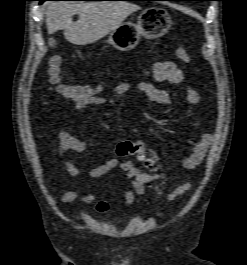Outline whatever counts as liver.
I'll return each mask as SVG.
<instances>
[{"label":"liver","instance_id":"1","mask_svg":"<svg viewBox=\"0 0 247 265\" xmlns=\"http://www.w3.org/2000/svg\"><path fill=\"white\" fill-rule=\"evenodd\" d=\"M139 9V6L125 1L51 2L45 11L46 26L49 33L64 30L65 39L72 44L87 45L117 29ZM75 14L79 15V19L73 22Z\"/></svg>","mask_w":247,"mask_h":265}]
</instances>
